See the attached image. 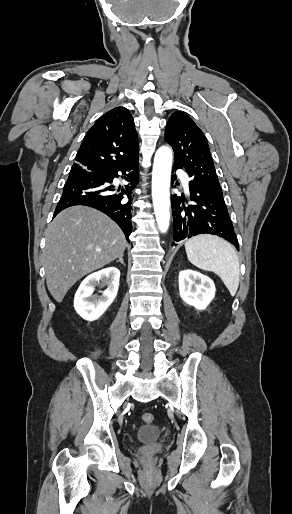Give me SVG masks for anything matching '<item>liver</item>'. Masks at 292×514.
<instances>
[{"mask_svg": "<svg viewBox=\"0 0 292 514\" xmlns=\"http://www.w3.org/2000/svg\"><path fill=\"white\" fill-rule=\"evenodd\" d=\"M45 240L46 284L56 302H62L77 280L120 258L126 248L119 226L87 206L60 212L49 224Z\"/></svg>", "mask_w": 292, "mask_h": 514, "instance_id": "liver-1", "label": "liver"}]
</instances>
